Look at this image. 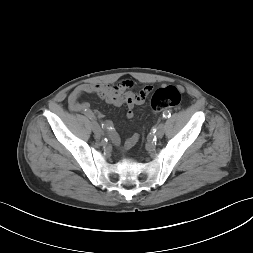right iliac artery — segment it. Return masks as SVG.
<instances>
[{
  "mask_svg": "<svg viewBox=\"0 0 253 253\" xmlns=\"http://www.w3.org/2000/svg\"><path fill=\"white\" fill-rule=\"evenodd\" d=\"M87 117L90 118L91 120H93L95 118V116L93 114H87ZM108 129H112L111 126H108Z\"/></svg>",
  "mask_w": 253,
  "mask_h": 253,
  "instance_id": "right-iliac-artery-1",
  "label": "right iliac artery"
}]
</instances>
